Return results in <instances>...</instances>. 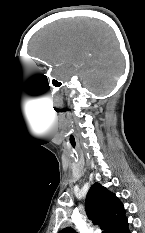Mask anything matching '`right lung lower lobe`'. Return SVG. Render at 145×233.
Here are the masks:
<instances>
[{
  "mask_svg": "<svg viewBox=\"0 0 145 233\" xmlns=\"http://www.w3.org/2000/svg\"><path fill=\"white\" fill-rule=\"evenodd\" d=\"M112 233H130L127 219H125L118 227H116Z\"/></svg>",
  "mask_w": 145,
  "mask_h": 233,
  "instance_id": "obj_1",
  "label": "right lung lower lobe"
}]
</instances>
